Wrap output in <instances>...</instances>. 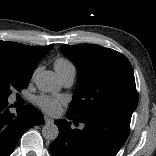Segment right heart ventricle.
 Instances as JSON below:
<instances>
[{
	"label": "right heart ventricle",
	"instance_id": "obj_1",
	"mask_svg": "<svg viewBox=\"0 0 156 156\" xmlns=\"http://www.w3.org/2000/svg\"><path fill=\"white\" fill-rule=\"evenodd\" d=\"M54 67L60 77L67 70L72 69V68L75 69L74 65L69 60H67L65 58L56 59V61L54 63Z\"/></svg>",
	"mask_w": 156,
	"mask_h": 156
}]
</instances>
